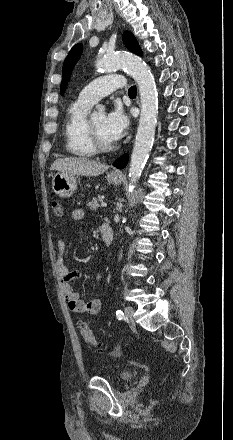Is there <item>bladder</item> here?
<instances>
[{"mask_svg": "<svg viewBox=\"0 0 233 440\" xmlns=\"http://www.w3.org/2000/svg\"><path fill=\"white\" fill-rule=\"evenodd\" d=\"M134 372L130 370H122L118 373V378L121 381H129L133 378Z\"/></svg>", "mask_w": 233, "mask_h": 440, "instance_id": "bladder-1", "label": "bladder"}]
</instances>
